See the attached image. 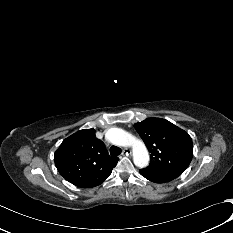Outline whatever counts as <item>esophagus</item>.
<instances>
[{"mask_svg": "<svg viewBox=\"0 0 233 233\" xmlns=\"http://www.w3.org/2000/svg\"><path fill=\"white\" fill-rule=\"evenodd\" d=\"M131 153L130 149L125 148L122 152V155H129Z\"/></svg>", "mask_w": 233, "mask_h": 233, "instance_id": "obj_1", "label": "esophagus"}]
</instances>
